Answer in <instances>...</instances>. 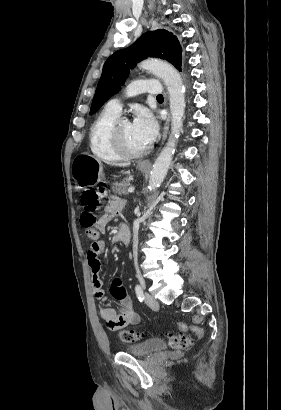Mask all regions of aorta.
<instances>
[{
    "mask_svg": "<svg viewBox=\"0 0 281 410\" xmlns=\"http://www.w3.org/2000/svg\"><path fill=\"white\" fill-rule=\"evenodd\" d=\"M139 67L148 70L161 78L169 92L171 134L168 142L153 164L148 188L150 191H154L161 185L167 174L175 151L176 141L182 128L185 111L184 87L177 70L166 62L156 59H148L142 61Z\"/></svg>",
    "mask_w": 281,
    "mask_h": 410,
    "instance_id": "762f6f07",
    "label": "aorta"
}]
</instances>
